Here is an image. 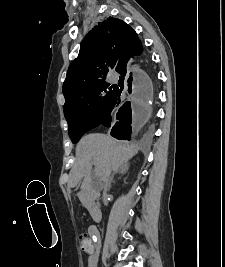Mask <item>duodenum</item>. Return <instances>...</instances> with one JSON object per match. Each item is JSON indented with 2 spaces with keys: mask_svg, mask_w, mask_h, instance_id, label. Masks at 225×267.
Here are the masks:
<instances>
[{
  "mask_svg": "<svg viewBox=\"0 0 225 267\" xmlns=\"http://www.w3.org/2000/svg\"><path fill=\"white\" fill-rule=\"evenodd\" d=\"M86 207L90 213V216L93 220L98 221L101 219V209L98 203L95 200L94 196H89L88 194H82Z\"/></svg>",
  "mask_w": 225,
  "mask_h": 267,
  "instance_id": "obj_1",
  "label": "duodenum"
}]
</instances>
